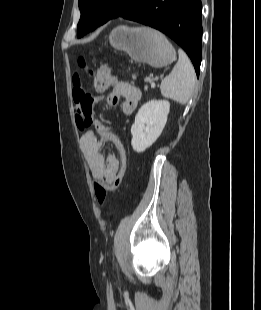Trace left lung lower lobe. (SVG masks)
<instances>
[{"label": "left lung lower lobe", "mask_w": 261, "mask_h": 310, "mask_svg": "<svg viewBox=\"0 0 261 310\" xmlns=\"http://www.w3.org/2000/svg\"><path fill=\"white\" fill-rule=\"evenodd\" d=\"M201 0H133L122 17L151 26L172 38L189 55L197 77L201 64ZM99 25L92 27L95 30Z\"/></svg>", "instance_id": "left-lung-lower-lobe-1"}]
</instances>
